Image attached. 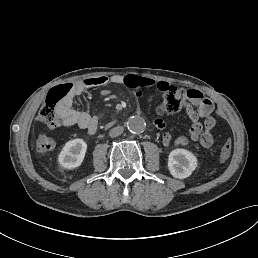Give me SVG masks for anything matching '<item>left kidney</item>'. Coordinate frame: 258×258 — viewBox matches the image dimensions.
Masks as SVG:
<instances>
[{"label":"left kidney","mask_w":258,"mask_h":258,"mask_svg":"<svg viewBox=\"0 0 258 258\" xmlns=\"http://www.w3.org/2000/svg\"><path fill=\"white\" fill-rule=\"evenodd\" d=\"M197 167V158L188 150L175 149L168 157V168L171 175L178 179L189 177Z\"/></svg>","instance_id":"5707ae66"}]
</instances>
